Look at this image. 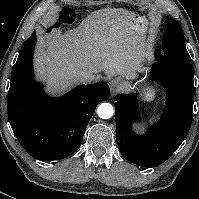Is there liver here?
<instances>
[{
    "mask_svg": "<svg viewBox=\"0 0 199 199\" xmlns=\"http://www.w3.org/2000/svg\"><path fill=\"white\" fill-rule=\"evenodd\" d=\"M134 16L124 9H102L73 30L42 39L35 61L38 77L53 93L81 82L82 72L134 79L141 68L145 32V27L131 22Z\"/></svg>",
    "mask_w": 199,
    "mask_h": 199,
    "instance_id": "obj_1",
    "label": "liver"
}]
</instances>
